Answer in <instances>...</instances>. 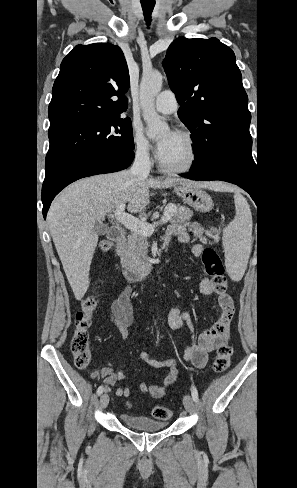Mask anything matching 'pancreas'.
<instances>
[{"label":"pancreas","mask_w":297,"mask_h":488,"mask_svg":"<svg viewBox=\"0 0 297 488\" xmlns=\"http://www.w3.org/2000/svg\"><path fill=\"white\" fill-rule=\"evenodd\" d=\"M173 206L174 211L170 213L171 222L188 225L187 222L193 216V211L186 207H181L177 205ZM117 251L121 257L122 263H124L131 269H137L143 266L147 259V236L132 232L127 237V239L117 245Z\"/></svg>","instance_id":"obj_1"}]
</instances>
